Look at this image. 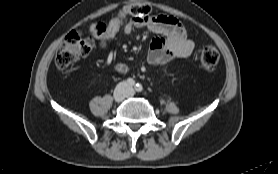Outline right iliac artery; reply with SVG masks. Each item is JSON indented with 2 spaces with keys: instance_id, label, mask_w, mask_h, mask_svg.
I'll list each match as a JSON object with an SVG mask.
<instances>
[{
  "instance_id": "right-iliac-artery-1",
  "label": "right iliac artery",
  "mask_w": 278,
  "mask_h": 174,
  "mask_svg": "<svg viewBox=\"0 0 278 174\" xmlns=\"http://www.w3.org/2000/svg\"><path fill=\"white\" fill-rule=\"evenodd\" d=\"M127 85L129 86H134L135 85V81L132 78H128L126 80Z\"/></svg>"
}]
</instances>
